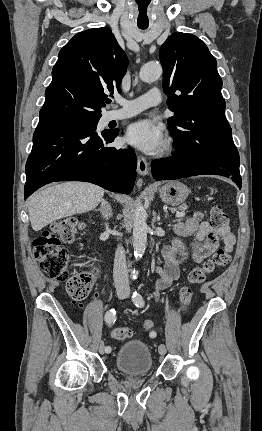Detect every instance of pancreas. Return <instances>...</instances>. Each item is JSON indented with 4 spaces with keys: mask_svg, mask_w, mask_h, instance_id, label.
<instances>
[{
    "mask_svg": "<svg viewBox=\"0 0 262 431\" xmlns=\"http://www.w3.org/2000/svg\"><path fill=\"white\" fill-rule=\"evenodd\" d=\"M186 209V207H180L178 208V210L184 211ZM174 211L177 210L176 208L173 209Z\"/></svg>",
    "mask_w": 262,
    "mask_h": 431,
    "instance_id": "obj_1",
    "label": "pancreas"
}]
</instances>
